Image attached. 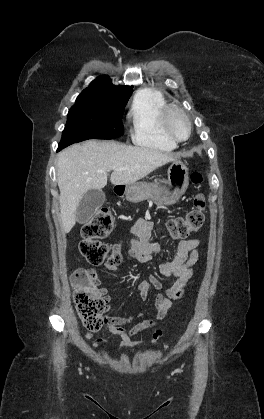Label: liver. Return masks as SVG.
Returning <instances> with one entry per match:
<instances>
[{"label": "liver", "instance_id": "6515ba94", "mask_svg": "<svg viewBox=\"0 0 264 419\" xmlns=\"http://www.w3.org/2000/svg\"><path fill=\"white\" fill-rule=\"evenodd\" d=\"M177 157L176 154L114 141L89 140L66 148L58 156L57 170L63 231L69 233L75 226L76 209L82 196L90 189L101 190L106 186L108 171L113 170L112 184L129 185Z\"/></svg>", "mask_w": 264, "mask_h": 419}]
</instances>
